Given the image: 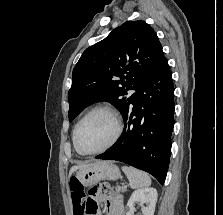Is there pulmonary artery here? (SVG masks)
Listing matches in <instances>:
<instances>
[{"label": "pulmonary artery", "instance_id": "1", "mask_svg": "<svg viewBox=\"0 0 223 215\" xmlns=\"http://www.w3.org/2000/svg\"><path fill=\"white\" fill-rule=\"evenodd\" d=\"M135 97L136 98H141L142 97V94L141 93H138V90H135Z\"/></svg>", "mask_w": 223, "mask_h": 215}]
</instances>
